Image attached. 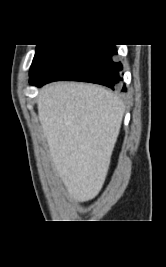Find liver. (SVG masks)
Wrapping results in <instances>:
<instances>
[{
    "label": "liver",
    "mask_w": 166,
    "mask_h": 267,
    "mask_svg": "<svg viewBox=\"0 0 166 267\" xmlns=\"http://www.w3.org/2000/svg\"><path fill=\"white\" fill-rule=\"evenodd\" d=\"M37 108L55 170L70 198L93 199L120 132L122 101L100 86L54 83L41 89Z\"/></svg>",
    "instance_id": "1"
}]
</instances>
